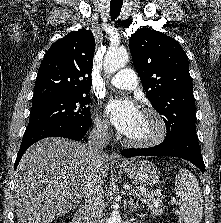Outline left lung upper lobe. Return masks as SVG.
Segmentation results:
<instances>
[{"instance_id":"left-lung-upper-lobe-1","label":"left lung upper lobe","mask_w":221,"mask_h":223,"mask_svg":"<svg viewBox=\"0 0 221 223\" xmlns=\"http://www.w3.org/2000/svg\"><path fill=\"white\" fill-rule=\"evenodd\" d=\"M129 48L149 101L164 116L165 140L196 132L189 62L180 44L161 32L140 28L131 35Z\"/></svg>"}]
</instances>
